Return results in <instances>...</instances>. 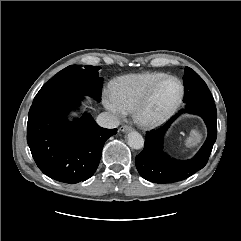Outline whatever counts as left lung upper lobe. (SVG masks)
<instances>
[{
	"mask_svg": "<svg viewBox=\"0 0 241 241\" xmlns=\"http://www.w3.org/2000/svg\"><path fill=\"white\" fill-rule=\"evenodd\" d=\"M183 81L185 88L183 102L186 106L199 102H214L206 83L194 70L186 67Z\"/></svg>",
	"mask_w": 241,
	"mask_h": 241,
	"instance_id": "1",
	"label": "left lung upper lobe"
}]
</instances>
